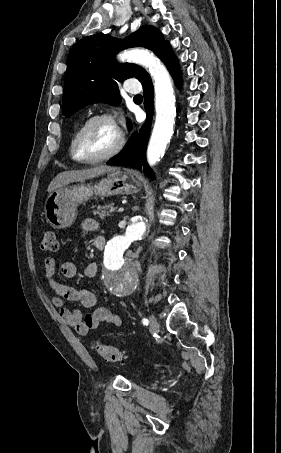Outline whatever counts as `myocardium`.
<instances>
[{
  "label": "myocardium",
  "mask_w": 281,
  "mask_h": 453,
  "mask_svg": "<svg viewBox=\"0 0 281 453\" xmlns=\"http://www.w3.org/2000/svg\"><path fill=\"white\" fill-rule=\"evenodd\" d=\"M99 121L108 122V123H111V124L115 125L118 128V131H119V140L116 143V145L111 150H109L107 153H105L103 155H100V156H97L95 158L84 159L79 154V143H80V140H81L84 132L86 131V129L92 123L99 122ZM125 141H126V136H125L124 131L116 123V121L114 120V118L110 114H106V113L96 114V115L91 116L87 120H85L81 124V126L78 128V130L76 131V133L74 135V138H73V151H72L73 152V157H74L75 160H77L78 162L83 163V164H94V163L103 162L105 160H108V159L116 156L122 150V148L124 147Z\"/></svg>",
  "instance_id": "1"
}]
</instances>
